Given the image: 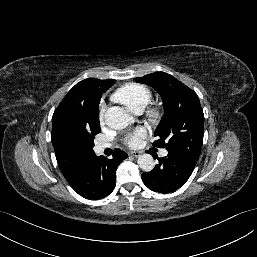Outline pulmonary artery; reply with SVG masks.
I'll list each match as a JSON object with an SVG mask.
<instances>
[{"label": "pulmonary artery", "instance_id": "e3ab8cb5", "mask_svg": "<svg viewBox=\"0 0 257 257\" xmlns=\"http://www.w3.org/2000/svg\"><path fill=\"white\" fill-rule=\"evenodd\" d=\"M141 112H142V111L140 110V111H136L135 113H136V114H140ZM109 146H110L109 143L100 142V143H97V144H96L95 149H96L97 152H102L105 148H107V147H109ZM167 153H168V152H167L166 150H162L161 155H162V156H166Z\"/></svg>", "mask_w": 257, "mask_h": 257}]
</instances>
